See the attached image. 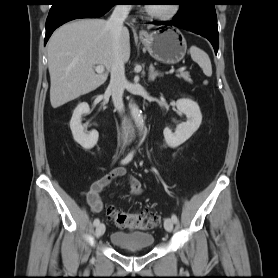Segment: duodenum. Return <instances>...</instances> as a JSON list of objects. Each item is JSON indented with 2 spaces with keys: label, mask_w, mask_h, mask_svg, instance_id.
<instances>
[{
  "label": "duodenum",
  "mask_w": 278,
  "mask_h": 278,
  "mask_svg": "<svg viewBox=\"0 0 278 278\" xmlns=\"http://www.w3.org/2000/svg\"><path fill=\"white\" fill-rule=\"evenodd\" d=\"M123 129H124L126 136H128V134H130V132L132 130V125L130 123H125L123 125Z\"/></svg>",
  "instance_id": "duodenum-1"
}]
</instances>
